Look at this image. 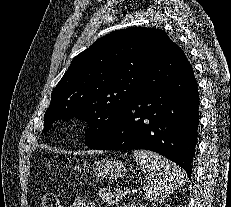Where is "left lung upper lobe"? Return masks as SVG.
Masks as SVG:
<instances>
[{
  "label": "left lung upper lobe",
  "mask_w": 231,
  "mask_h": 207,
  "mask_svg": "<svg viewBox=\"0 0 231 207\" xmlns=\"http://www.w3.org/2000/svg\"><path fill=\"white\" fill-rule=\"evenodd\" d=\"M173 43L165 31L144 27L98 39L72 60L53 90L43 132L57 120L76 117L88 122L87 146L101 142L139 97L144 75Z\"/></svg>",
  "instance_id": "left-lung-upper-lobe-1"
}]
</instances>
